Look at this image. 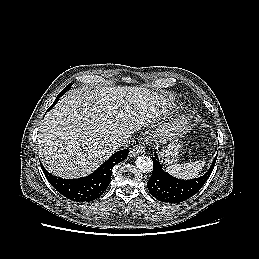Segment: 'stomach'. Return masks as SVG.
<instances>
[{
  "instance_id": "obj_1",
  "label": "stomach",
  "mask_w": 259,
  "mask_h": 259,
  "mask_svg": "<svg viewBox=\"0 0 259 259\" xmlns=\"http://www.w3.org/2000/svg\"><path fill=\"white\" fill-rule=\"evenodd\" d=\"M180 144H176L175 141H171L166 147L161 149L160 154L162 161L165 164H171L178 160Z\"/></svg>"
}]
</instances>
